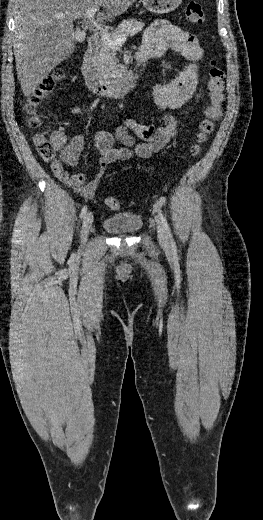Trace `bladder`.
<instances>
[{"label":"bladder","instance_id":"31cf9c89","mask_svg":"<svg viewBox=\"0 0 263 520\" xmlns=\"http://www.w3.org/2000/svg\"><path fill=\"white\" fill-rule=\"evenodd\" d=\"M102 228L110 234L128 235L138 232L143 226V219L137 213H119L105 218Z\"/></svg>","mask_w":263,"mask_h":520}]
</instances>
